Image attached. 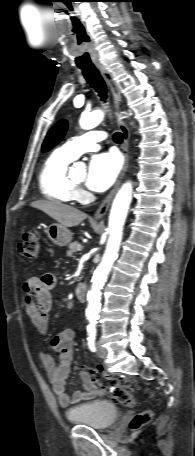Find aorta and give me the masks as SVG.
Instances as JSON below:
<instances>
[{
	"label": "aorta",
	"mask_w": 195,
	"mask_h": 456,
	"mask_svg": "<svg viewBox=\"0 0 195 456\" xmlns=\"http://www.w3.org/2000/svg\"><path fill=\"white\" fill-rule=\"evenodd\" d=\"M103 118L104 113L101 110H96L82 115L79 123L82 129L89 130L96 127L103 120ZM131 200L132 184L131 182H126L122 185L112 203L109 215V237L106 250L100 265L93 274L91 280V290L87 294L88 307L86 315L89 319L96 318L101 309V289L108 277L115 259L118 256V250L122 240L123 226Z\"/></svg>",
	"instance_id": "1"
}]
</instances>
